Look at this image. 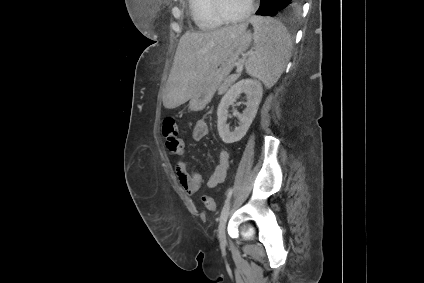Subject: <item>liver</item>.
Wrapping results in <instances>:
<instances>
[{
  "label": "liver",
  "mask_w": 424,
  "mask_h": 283,
  "mask_svg": "<svg viewBox=\"0 0 424 283\" xmlns=\"http://www.w3.org/2000/svg\"><path fill=\"white\" fill-rule=\"evenodd\" d=\"M248 23L209 31H188L179 41L173 66L163 93V105L173 109L198 91L226 49L246 31Z\"/></svg>",
  "instance_id": "liver-1"
}]
</instances>
